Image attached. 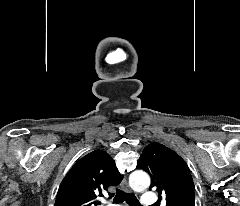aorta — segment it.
Segmentation results:
<instances>
[{
	"instance_id": "1",
	"label": "aorta",
	"mask_w": 240,
	"mask_h": 206,
	"mask_svg": "<svg viewBox=\"0 0 240 206\" xmlns=\"http://www.w3.org/2000/svg\"><path fill=\"white\" fill-rule=\"evenodd\" d=\"M129 184L135 191H143L150 185V177L144 171H134L129 177Z\"/></svg>"
}]
</instances>
